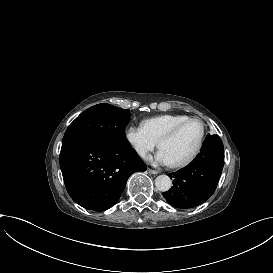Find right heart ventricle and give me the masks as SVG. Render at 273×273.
Returning <instances> with one entry per match:
<instances>
[{
  "mask_svg": "<svg viewBox=\"0 0 273 273\" xmlns=\"http://www.w3.org/2000/svg\"><path fill=\"white\" fill-rule=\"evenodd\" d=\"M190 116L185 114H164L148 118L143 125L158 142L161 137L178 123L187 120Z\"/></svg>",
  "mask_w": 273,
  "mask_h": 273,
  "instance_id": "1",
  "label": "right heart ventricle"
}]
</instances>
